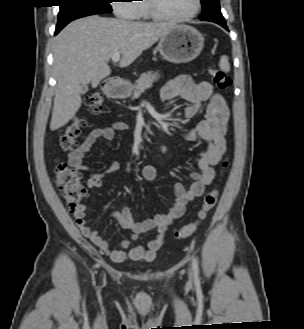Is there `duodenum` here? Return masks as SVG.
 <instances>
[{
    "instance_id": "obj_1",
    "label": "duodenum",
    "mask_w": 304,
    "mask_h": 329,
    "mask_svg": "<svg viewBox=\"0 0 304 329\" xmlns=\"http://www.w3.org/2000/svg\"><path fill=\"white\" fill-rule=\"evenodd\" d=\"M103 88L106 94H112L116 88V83L113 80H108L105 82Z\"/></svg>"
}]
</instances>
